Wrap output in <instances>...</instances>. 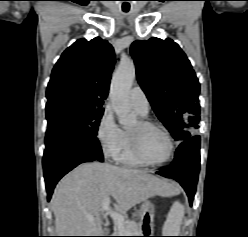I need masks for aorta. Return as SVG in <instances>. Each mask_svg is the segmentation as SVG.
I'll return each mask as SVG.
<instances>
[{
  "instance_id": "762f6f07",
  "label": "aorta",
  "mask_w": 248,
  "mask_h": 237,
  "mask_svg": "<svg viewBox=\"0 0 248 237\" xmlns=\"http://www.w3.org/2000/svg\"><path fill=\"white\" fill-rule=\"evenodd\" d=\"M135 78V66L131 60H123L116 69L110 87L109 98L118 121L123 126L132 125L136 117L131 112L129 91Z\"/></svg>"
}]
</instances>
